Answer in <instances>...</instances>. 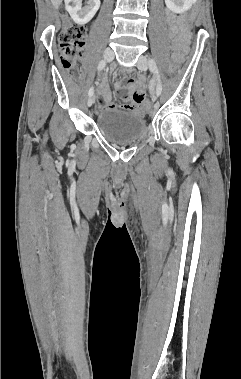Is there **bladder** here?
I'll return each mask as SVG.
<instances>
[{"label": "bladder", "mask_w": 241, "mask_h": 379, "mask_svg": "<svg viewBox=\"0 0 241 379\" xmlns=\"http://www.w3.org/2000/svg\"><path fill=\"white\" fill-rule=\"evenodd\" d=\"M96 125L107 141L119 145L138 141L146 133L145 120L141 115L118 109L100 112Z\"/></svg>", "instance_id": "1"}]
</instances>
